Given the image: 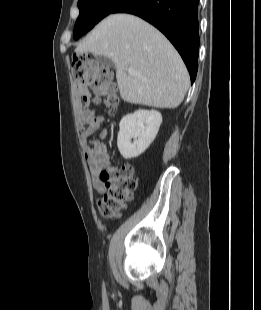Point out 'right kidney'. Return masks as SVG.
Masks as SVG:
<instances>
[{"label":"right kidney","instance_id":"ca27d5eb","mask_svg":"<svg viewBox=\"0 0 261 310\" xmlns=\"http://www.w3.org/2000/svg\"><path fill=\"white\" fill-rule=\"evenodd\" d=\"M161 123L162 116L156 110H138L124 116L119 124L117 138V146L123 158L131 159L142 154L155 139Z\"/></svg>","mask_w":261,"mask_h":310}]
</instances>
